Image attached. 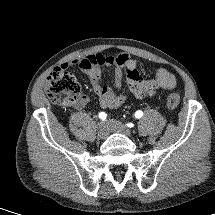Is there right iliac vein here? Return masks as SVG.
Masks as SVG:
<instances>
[{
	"label": "right iliac vein",
	"instance_id": "1",
	"mask_svg": "<svg viewBox=\"0 0 215 215\" xmlns=\"http://www.w3.org/2000/svg\"><path fill=\"white\" fill-rule=\"evenodd\" d=\"M106 124V121H100L98 123L99 127L102 128Z\"/></svg>",
	"mask_w": 215,
	"mask_h": 215
}]
</instances>
